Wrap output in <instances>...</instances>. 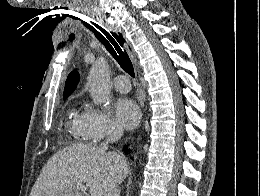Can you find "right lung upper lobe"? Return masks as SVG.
I'll list each match as a JSON object with an SVG mask.
<instances>
[{"instance_id":"1","label":"right lung upper lobe","mask_w":260,"mask_h":196,"mask_svg":"<svg viewBox=\"0 0 260 196\" xmlns=\"http://www.w3.org/2000/svg\"><path fill=\"white\" fill-rule=\"evenodd\" d=\"M78 81L79 75L76 71H73L68 75L64 88V99H66L74 91Z\"/></svg>"}]
</instances>
